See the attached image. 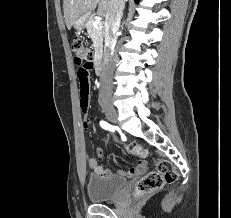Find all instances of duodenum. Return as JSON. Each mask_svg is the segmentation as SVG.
Wrapping results in <instances>:
<instances>
[{"instance_id": "obj_1", "label": "duodenum", "mask_w": 231, "mask_h": 218, "mask_svg": "<svg viewBox=\"0 0 231 218\" xmlns=\"http://www.w3.org/2000/svg\"><path fill=\"white\" fill-rule=\"evenodd\" d=\"M93 67L95 69V72L98 75L102 74V61H101V57L99 54L96 55L95 59H94V63H93Z\"/></svg>"}]
</instances>
